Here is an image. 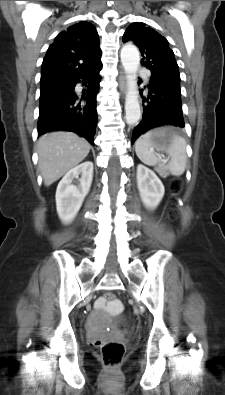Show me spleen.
<instances>
[{
  "label": "spleen",
  "instance_id": "3e777b00",
  "mask_svg": "<svg viewBox=\"0 0 225 395\" xmlns=\"http://www.w3.org/2000/svg\"><path fill=\"white\" fill-rule=\"evenodd\" d=\"M154 132L150 131L139 137L135 143L137 157L148 166H158L162 172H169L171 175L180 176L186 168V141L181 136L174 134L168 146H159L153 143ZM154 149L164 151L169 162L160 164Z\"/></svg>",
  "mask_w": 225,
  "mask_h": 395
}]
</instances>
